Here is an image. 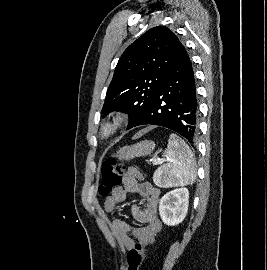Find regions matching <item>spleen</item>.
<instances>
[{"instance_id":"3e777b00","label":"spleen","mask_w":267,"mask_h":270,"mask_svg":"<svg viewBox=\"0 0 267 270\" xmlns=\"http://www.w3.org/2000/svg\"><path fill=\"white\" fill-rule=\"evenodd\" d=\"M166 163L154 174L156 185L166 187L193 184L196 180L195 159L189 146L176 134L169 136Z\"/></svg>"}]
</instances>
